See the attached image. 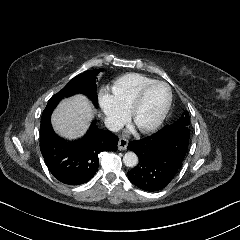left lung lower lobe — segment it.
<instances>
[{"label":"left lung lower lobe","mask_w":240,"mask_h":240,"mask_svg":"<svg viewBox=\"0 0 240 240\" xmlns=\"http://www.w3.org/2000/svg\"><path fill=\"white\" fill-rule=\"evenodd\" d=\"M189 138L190 132L165 126L151 136L129 142L128 149L139 158L128 172L129 180L148 192L165 188L182 164Z\"/></svg>","instance_id":"obj_1"}]
</instances>
